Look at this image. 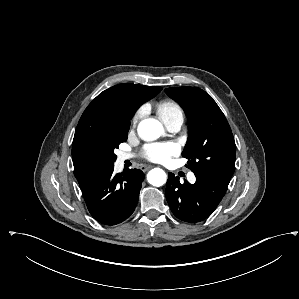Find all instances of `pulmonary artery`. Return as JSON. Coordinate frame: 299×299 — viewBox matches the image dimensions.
<instances>
[{"label":"pulmonary artery","instance_id":"obj_1","mask_svg":"<svg viewBox=\"0 0 299 299\" xmlns=\"http://www.w3.org/2000/svg\"><path fill=\"white\" fill-rule=\"evenodd\" d=\"M183 123V119L178 117V118H174L168 122L165 123L166 127L168 128L169 131L171 132H176L180 129L181 125ZM133 155L132 154H128V153H122L120 154L119 156V160L121 162L127 160V159H130L132 158ZM188 180L191 182V183H194L196 181V177L193 173H189L188 176H187Z\"/></svg>","mask_w":299,"mask_h":299}]
</instances>
